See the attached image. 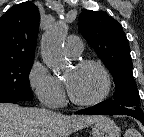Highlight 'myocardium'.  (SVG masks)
Wrapping results in <instances>:
<instances>
[{"instance_id":"1","label":"myocardium","mask_w":144,"mask_h":137,"mask_svg":"<svg viewBox=\"0 0 144 137\" xmlns=\"http://www.w3.org/2000/svg\"><path fill=\"white\" fill-rule=\"evenodd\" d=\"M88 66L95 67L102 73L103 78H104V89L97 98L93 100H89V101H81L73 97V95L70 93L67 87V94H68L69 101L72 104L76 106H80V107H93V106L99 105L100 103H102L103 101L107 99L112 88L111 75L103 63L97 60H93V59L79 60L75 63L76 68H83V67H88Z\"/></svg>"}]
</instances>
